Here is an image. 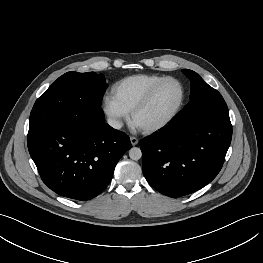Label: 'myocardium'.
<instances>
[{"label":"myocardium","mask_w":263,"mask_h":263,"mask_svg":"<svg viewBox=\"0 0 263 263\" xmlns=\"http://www.w3.org/2000/svg\"><path fill=\"white\" fill-rule=\"evenodd\" d=\"M169 80L177 82L182 89V97H181L180 103L177 106V108L174 110V112L171 115H169L167 118L163 119L162 121H159V122L154 123V124L149 125V126L139 127L140 130L146 134L155 133V132L165 128L166 126H168L172 121H174L177 118V116L181 113L182 109L185 106L186 99H187V88H186L185 84L177 77L166 76V77H163L162 79H160L158 82H156L147 91V93L143 96V98L132 108V110L130 111V117H131L132 122H134L136 115L149 105V103L151 102L154 94L159 89V87L163 83H165L166 81H169Z\"/></svg>","instance_id":"1"}]
</instances>
